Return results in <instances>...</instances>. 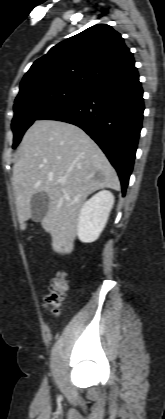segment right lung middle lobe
<instances>
[{
    "label": "right lung middle lobe",
    "instance_id": "obj_1",
    "mask_svg": "<svg viewBox=\"0 0 165 419\" xmlns=\"http://www.w3.org/2000/svg\"><path fill=\"white\" fill-rule=\"evenodd\" d=\"M88 94L76 88L49 87L27 93L16 98L12 130L14 133L13 148L21 141L25 131L35 120L41 119L48 112Z\"/></svg>",
    "mask_w": 165,
    "mask_h": 419
}]
</instances>
